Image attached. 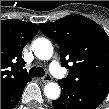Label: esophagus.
Segmentation results:
<instances>
[{
    "label": "esophagus",
    "instance_id": "obj_1",
    "mask_svg": "<svg viewBox=\"0 0 109 109\" xmlns=\"http://www.w3.org/2000/svg\"><path fill=\"white\" fill-rule=\"evenodd\" d=\"M50 81H52V77H51L50 73H47L44 77H42L43 83H47V82H50Z\"/></svg>",
    "mask_w": 109,
    "mask_h": 109
}]
</instances>
